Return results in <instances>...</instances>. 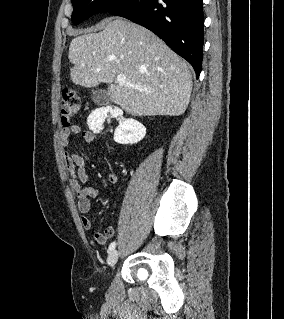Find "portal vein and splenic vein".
Here are the masks:
<instances>
[{
    "label": "portal vein and splenic vein",
    "mask_w": 284,
    "mask_h": 319,
    "mask_svg": "<svg viewBox=\"0 0 284 319\" xmlns=\"http://www.w3.org/2000/svg\"><path fill=\"white\" fill-rule=\"evenodd\" d=\"M116 81L119 83V84H125L126 86L128 87H131V88H135V89H142V87L140 85H136L134 83H131V82H127L126 81V77L124 75H118L116 77Z\"/></svg>",
    "instance_id": "1"
}]
</instances>
